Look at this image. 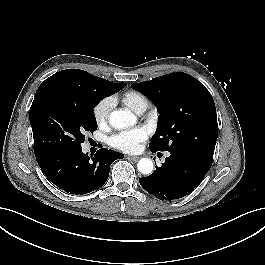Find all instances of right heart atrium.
I'll return each instance as SVG.
<instances>
[{"mask_svg": "<svg viewBox=\"0 0 265 265\" xmlns=\"http://www.w3.org/2000/svg\"><path fill=\"white\" fill-rule=\"evenodd\" d=\"M113 108V99L105 97L101 99L92 110L93 117L98 125H105L108 123L110 113Z\"/></svg>", "mask_w": 265, "mask_h": 265, "instance_id": "right-heart-atrium-1", "label": "right heart atrium"}]
</instances>
